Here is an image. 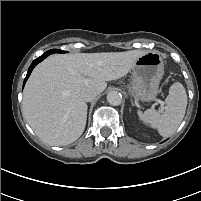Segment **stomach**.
Returning a JSON list of instances; mask_svg holds the SVG:
<instances>
[{"label":"stomach","instance_id":"obj_1","mask_svg":"<svg viewBox=\"0 0 201 201\" xmlns=\"http://www.w3.org/2000/svg\"><path fill=\"white\" fill-rule=\"evenodd\" d=\"M131 70L132 82L128 86L129 94L143 102L154 100L164 74L161 54L156 51L145 52L134 62Z\"/></svg>","mask_w":201,"mask_h":201}]
</instances>
